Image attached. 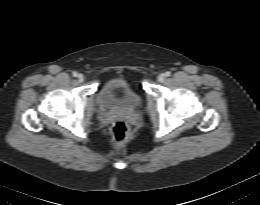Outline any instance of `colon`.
<instances>
[{
  "mask_svg": "<svg viewBox=\"0 0 260 205\" xmlns=\"http://www.w3.org/2000/svg\"><path fill=\"white\" fill-rule=\"evenodd\" d=\"M110 136L115 145H122L128 136L127 124L123 121L114 122L110 128Z\"/></svg>",
  "mask_w": 260,
  "mask_h": 205,
  "instance_id": "colon-1",
  "label": "colon"
}]
</instances>
